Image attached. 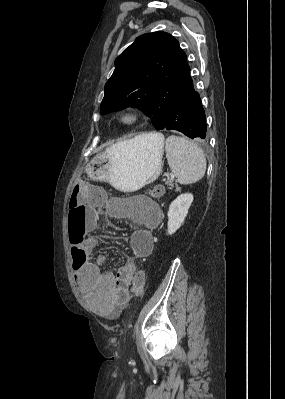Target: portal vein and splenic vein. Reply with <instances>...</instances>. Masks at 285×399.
Here are the masks:
<instances>
[{"label": "portal vein and splenic vein", "instance_id": "portal-vein-and-splenic-vein-1", "mask_svg": "<svg viewBox=\"0 0 285 399\" xmlns=\"http://www.w3.org/2000/svg\"><path fill=\"white\" fill-rule=\"evenodd\" d=\"M175 176H174V174H171V178L173 179Z\"/></svg>", "mask_w": 285, "mask_h": 399}]
</instances>
